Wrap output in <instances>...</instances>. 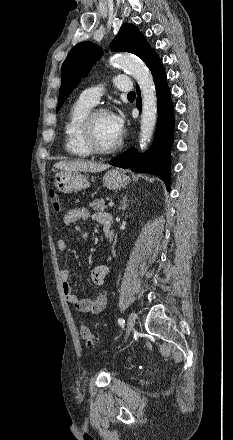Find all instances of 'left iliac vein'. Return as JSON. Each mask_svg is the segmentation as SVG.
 <instances>
[{"instance_id":"4c4485c4","label":"left iliac vein","mask_w":233,"mask_h":440,"mask_svg":"<svg viewBox=\"0 0 233 440\" xmlns=\"http://www.w3.org/2000/svg\"><path fill=\"white\" fill-rule=\"evenodd\" d=\"M127 323H128V332L130 333L134 327V324H135V314L134 313H131L129 315Z\"/></svg>"}]
</instances>
